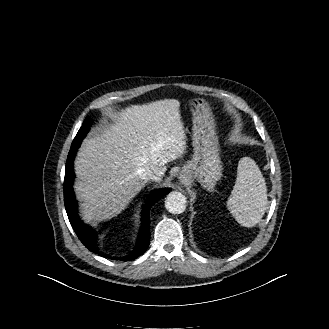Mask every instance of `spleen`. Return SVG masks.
Listing matches in <instances>:
<instances>
[{
  "mask_svg": "<svg viewBox=\"0 0 329 329\" xmlns=\"http://www.w3.org/2000/svg\"><path fill=\"white\" fill-rule=\"evenodd\" d=\"M267 204V187L259 167L250 157L241 158L227 209L239 224L252 227L263 217Z\"/></svg>",
  "mask_w": 329,
  "mask_h": 329,
  "instance_id": "obj_1",
  "label": "spleen"
}]
</instances>
